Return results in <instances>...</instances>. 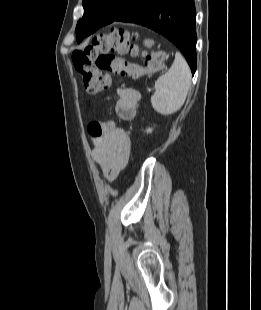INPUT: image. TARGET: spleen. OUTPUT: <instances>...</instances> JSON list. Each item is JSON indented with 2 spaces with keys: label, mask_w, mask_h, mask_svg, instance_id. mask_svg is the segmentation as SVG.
Wrapping results in <instances>:
<instances>
[{
  "label": "spleen",
  "mask_w": 261,
  "mask_h": 310,
  "mask_svg": "<svg viewBox=\"0 0 261 310\" xmlns=\"http://www.w3.org/2000/svg\"><path fill=\"white\" fill-rule=\"evenodd\" d=\"M190 85V68L177 52L171 68L155 82V92L151 96L152 107L162 115L177 112L185 102Z\"/></svg>",
  "instance_id": "3e777b00"
}]
</instances>
